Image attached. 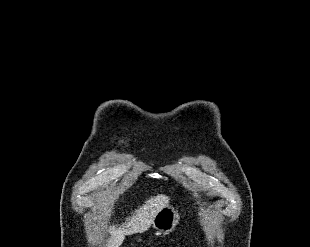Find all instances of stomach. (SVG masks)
<instances>
[{
    "mask_svg": "<svg viewBox=\"0 0 310 247\" xmlns=\"http://www.w3.org/2000/svg\"><path fill=\"white\" fill-rule=\"evenodd\" d=\"M179 219L180 215L177 208L168 203L158 210L153 219L152 226L161 234H169L176 229Z\"/></svg>",
    "mask_w": 310,
    "mask_h": 247,
    "instance_id": "0dacf381",
    "label": "stomach"
}]
</instances>
